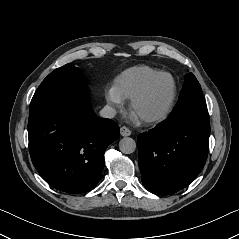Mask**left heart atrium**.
<instances>
[{
    "label": "left heart atrium",
    "mask_w": 239,
    "mask_h": 239,
    "mask_svg": "<svg viewBox=\"0 0 239 239\" xmlns=\"http://www.w3.org/2000/svg\"><path fill=\"white\" fill-rule=\"evenodd\" d=\"M130 118H131L132 121H138L139 120V117L136 114H134L133 112L130 114Z\"/></svg>",
    "instance_id": "39dd6f15"
}]
</instances>
